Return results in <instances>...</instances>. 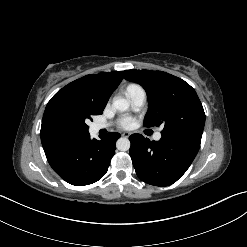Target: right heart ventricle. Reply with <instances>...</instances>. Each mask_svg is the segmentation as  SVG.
<instances>
[{"label": "right heart ventricle", "instance_id": "obj_1", "mask_svg": "<svg viewBox=\"0 0 247 247\" xmlns=\"http://www.w3.org/2000/svg\"><path fill=\"white\" fill-rule=\"evenodd\" d=\"M140 86H138L137 84H129L127 87H126V94H128L130 91L134 90V89H137L139 88Z\"/></svg>", "mask_w": 247, "mask_h": 247}]
</instances>
